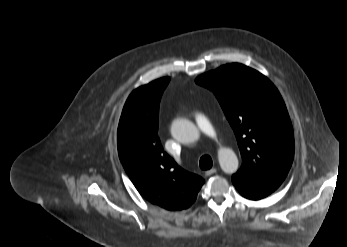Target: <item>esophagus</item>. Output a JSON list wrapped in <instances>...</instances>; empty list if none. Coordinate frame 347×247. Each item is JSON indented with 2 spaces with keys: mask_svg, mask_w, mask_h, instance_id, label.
Listing matches in <instances>:
<instances>
[{
  "mask_svg": "<svg viewBox=\"0 0 347 247\" xmlns=\"http://www.w3.org/2000/svg\"><path fill=\"white\" fill-rule=\"evenodd\" d=\"M216 171H217L216 168H211V169H209V170H207V171L205 172V175H206V176H210V175L216 173Z\"/></svg>",
  "mask_w": 347,
  "mask_h": 247,
  "instance_id": "esophagus-1",
  "label": "esophagus"
}]
</instances>
